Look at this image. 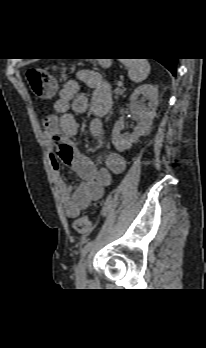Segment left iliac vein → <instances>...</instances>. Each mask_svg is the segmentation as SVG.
Instances as JSON below:
<instances>
[{"mask_svg":"<svg viewBox=\"0 0 206 348\" xmlns=\"http://www.w3.org/2000/svg\"><path fill=\"white\" fill-rule=\"evenodd\" d=\"M87 263H88V259L87 258H83L76 269V279L78 282H83L86 280V269H87Z\"/></svg>","mask_w":206,"mask_h":348,"instance_id":"left-iliac-vein-1","label":"left iliac vein"}]
</instances>
